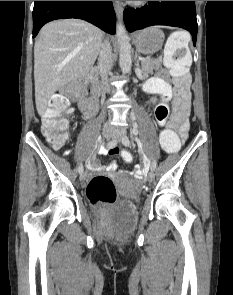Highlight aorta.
Segmentation results:
<instances>
[{
	"instance_id": "aorta-1",
	"label": "aorta",
	"mask_w": 233,
	"mask_h": 295,
	"mask_svg": "<svg viewBox=\"0 0 233 295\" xmlns=\"http://www.w3.org/2000/svg\"><path fill=\"white\" fill-rule=\"evenodd\" d=\"M116 35L119 43V64L123 73H128L131 70V45L129 36L127 35L125 27L118 23L116 26Z\"/></svg>"
}]
</instances>
